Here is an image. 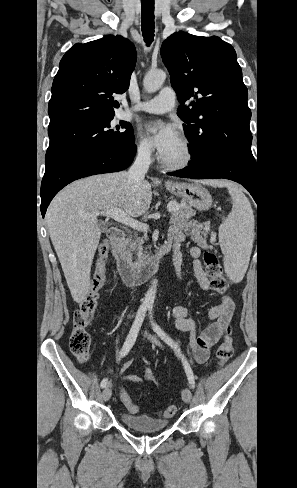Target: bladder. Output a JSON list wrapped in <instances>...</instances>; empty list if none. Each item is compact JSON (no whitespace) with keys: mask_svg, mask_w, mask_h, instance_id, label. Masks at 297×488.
<instances>
[{"mask_svg":"<svg viewBox=\"0 0 297 488\" xmlns=\"http://www.w3.org/2000/svg\"><path fill=\"white\" fill-rule=\"evenodd\" d=\"M120 418L126 427L139 432H157L168 426V421L166 419L147 415L122 413Z\"/></svg>","mask_w":297,"mask_h":488,"instance_id":"31cf9c89","label":"bladder"}]
</instances>
